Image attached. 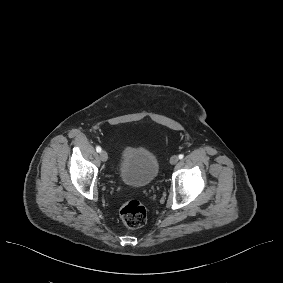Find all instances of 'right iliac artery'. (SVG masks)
<instances>
[{"mask_svg":"<svg viewBox=\"0 0 283 283\" xmlns=\"http://www.w3.org/2000/svg\"><path fill=\"white\" fill-rule=\"evenodd\" d=\"M101 150H102V149H101V147H100V146H97V147H96V151H97V152H99V153H100V152H101Z\"/></svg>","mask_w":283,"mask_h":283,"instance_id":"right-iliac-artery-1","label":"right iliac artery"}]
</instances>
